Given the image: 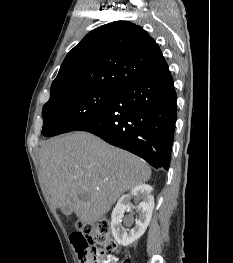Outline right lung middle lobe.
I'll return each mask as SVG.
<instances>
[{
  "label": "right lung middle lobe",
  "mask_w": 233,
  "mask_h": 263,
  "mask_svg": "<svg viewBox=\"0 0 233 263\" xmlns=\"http://www.w3.org/2000/svg\"><path fill=\"white\" fill-rule=\"evenodd\" d=\"M117 91L99 88L73 90L50 97L44 105L42 134L53 136L75 130L101 114Z\"/></svg>",
  "instance_id": "obj_1"
}]
</instances>
